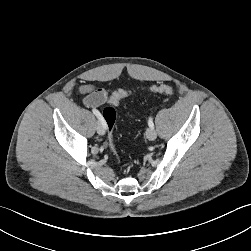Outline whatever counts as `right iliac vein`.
Returning <instances> with one entry per match:
<instances>
[{
	"label": "right iliac vein",
	"instance_id": "right-iliac-vein-1",
	"mask_svg": "<svg viewBox=\"0 0 251 251\" xmlns=\"http://www.w3.org/2000/svg\"><path fill=\"white\" fill-rule=\"evenodd\" d=\"M96 130L99 135L105 134V127L103 126V124L101 122H97Z\"/></svg>",
	"mask_w": 251,
	"mask_h": 251
}]
</instances>
